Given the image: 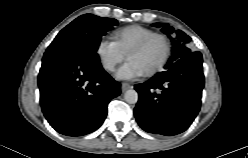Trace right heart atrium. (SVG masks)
I'll return each instance as SVG.
<instances>
[{"instance_id": "1", "label": "right heart atrium", "mask_w": 248, "mask_h": 158, "mask_svg": "<svg viewBox=\"0 0 248 158\" xmlns=\"http://www.w3.org/2000/svg\"><path fill=\"white\" fill-rule=\"evenodd\" d=\"M96 53L102 67L109 72L114 71L116 66L120 64L126 56L115 41L107 38H101L98 41Z\"/></svg>"}]
</instances>
